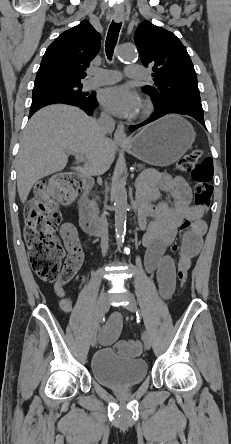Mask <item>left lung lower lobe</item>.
<instances>
[{
	"instance_id": "obj_1",
	"label": "left lung lower lobe",
	"mask_w": 231,
	"mask_h": 444,
	"mask_svg": "<svg viewBox=\"0 0 231 444\" xmlns=\"http://www.w3.org/2000/svg\"><path fill=\"white\" fill-rule=\"evenodd\" d=\"M169 113H177V114H185V115H189L192 116L193 118H195L198 122H200L204 128V116H203V111L201 110H196V109H188V108H178L176 110H157L155 112V114L148 120H146L145 122L141 123V124H137V125H133L129 127V130L131 132L135 131L136 129H138L141 126H144L152 121H155L156 119L169 114Z\"/></svg>"
}]
</instances>
